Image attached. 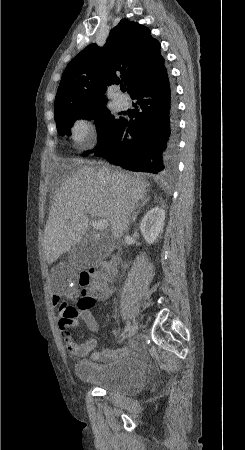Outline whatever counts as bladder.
Here are the masks:
<instances>
[{
    "label": "bladder",
    "mask_w": 245,
    "mask_h": 450,
    "mask_svg": "<svg viewBox=\"0 0 245 450\" xmlns=\"http://www.w3.org/2000/svg\"><path fill=\"white\" fill-rule=\"evenodd\" d=\"M76 366L82 383L123 396L138 394L146 381V367L138 358L87 360Z\"/></svg>",
    "instance_id": "obj_1"
}]
</instances>
